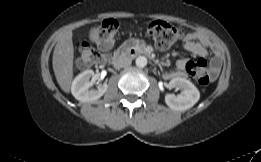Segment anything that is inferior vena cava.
Masks as SVG:
<instances>
[{"instance_id": "obj_1", "label": "inferior vena cava", "mask_w": 261, "mask_h": 162, "mask_svg": "<svg viewBox=\"0 0 261 162\" xmlns=\"http://www.w3.org/2000/svg\"><path fill=\"white\" fill-rule=\"evenodd\" d=\"M131 65V60L128 58H120L117 63L116 66L117 67H122V68H127Z\"/></svg>"}]
</instances>
